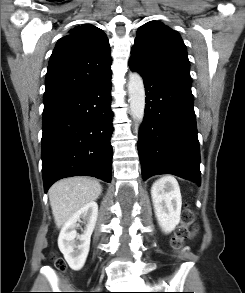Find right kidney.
Returning <instances> with one entry per match:
<instances>
[{
  "label": "right kidney",
  "instance_id": "1",
  "mask_svg": "<svg viewBox=\"0 0 245 293\" xmlns=\"http://www.w3.org/2000/svg\"><path fill=\"white\" fill-rule=\"evenodd\" d=\"M98 216V205L89 202L75 212L62 227L58 237V247L70 268L79 271L85 264L90 249V240ZM80 223L85 224L79 235L76 231Z\"/></svg>",
  "mask_w": 245,
  "mask_h": 293
}]
</instances>
